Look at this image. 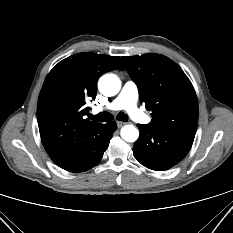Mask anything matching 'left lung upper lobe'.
Segmentation results:
<instances>
[{"instance_id":"obj_1","label":"left lung upper lobe","mask_w":233,"mask_h":233,"mask_svg":"<svg viewBox=\"0 0 233 233\" xmlns=\"http://www.w3.org/2000/svg\"><path fill=\"white\" fill-rule=\"evenodd\" d=\"M136 82L140 101L152 110L151 127L180 134L195 135L198 102L194 88L183 70L159 54L122 57Z\"/></svg>"}]
</instances>
